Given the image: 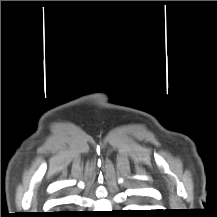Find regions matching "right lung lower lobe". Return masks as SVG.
I'll use <instances>...</instances> for the list:
<instances>
[{
  "mask_svg": "<svg viewBox=\"0 0 217 217\" xmlns=\"http://www.w3.org/2000/svg\"><path fill=\"white\" fill-rule=\"evenodd\" d=\"M51 217H79L77 213L73 212H58L51 215Z\"/></svg>",
  "mask_w": 217,
  "mask_h": 217,
  "instance_id": "1",
  "label": "right lung lower lobe"
}]
</instances>
